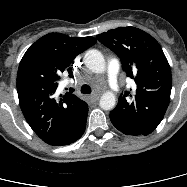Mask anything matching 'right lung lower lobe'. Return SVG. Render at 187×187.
Segmentation results:
<instances>
[{
    "label": "right lung lower lobe",
    "mask_w": 187,
    "mask_h": 187,
    "mask_svg": "<svg viewBox=\"0 0 187 187\" xmlns=\"http://www.w3.org/2000/svg\"><path fill=\"white\" fill-rule=\"evenodd\" d=\"M86 121H87V114L82 119L78 127L65 140H63L62 142H60L59 144L55 146L68 145V144L75 142L77 139H79L85 131Z\"/></svg>",
    "instance_id": "1"
}]
</instances>
